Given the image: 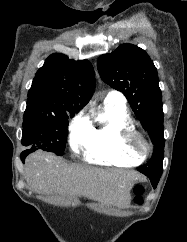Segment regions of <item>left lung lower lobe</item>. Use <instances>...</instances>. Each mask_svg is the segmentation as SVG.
<instances>
[{
    "mask_svg": "<svg viewBox=\"0 0 187 242\" xmlns=\"http://www.w3.org/2000/svg\"><path fill=\"white\" fill-rule=\"evenodd\" d=\"M146 176L150 179L153 188H156V186H157V184L159 182L160 176L150 175V174H148Z\"/></svg>",
    "mask_w": 187,
    "mask_h": 242,
    "instance_id": "0a47b994",
    "label": "left lung lower lobe"
}]
</instances>
